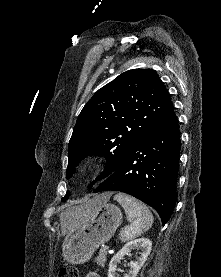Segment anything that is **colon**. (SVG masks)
<instances>
[{
	"label": "colon",
	"mask_w": 221,
	"mask_h": 277,
	"mask_svg": "<svg viewBox=\"0 0 221 277\" xmlns=\"http://www.w3.org/2000/svg\"><path fill=\"white\" fill-rule=\"evenodd\" d=\"M58 277H79L78 270L75 267H64L59 273Z\"/></svg>",
	"instance_id": "1"
}]
</instances>
